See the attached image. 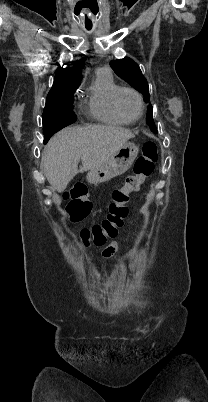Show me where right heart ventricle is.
<instances>
[{
  "label": "right heart ventricle",
  "instance_id": "1",
  "mask_svg": "<svg viewBox=\"0 0 208 402\" xmlns=\"http://www.w3.org/2000/svg\"><path fill=\"white\" fill-rule=\"evenodd\" d=\"M118 88L112 76L97 72L88 96L89 112L97 125L123 127L130 124L121 120L113 110L112 98Z\"/></svg>",
  "mask_w": 208,
  "mask_h": 402
}]
</instances>
